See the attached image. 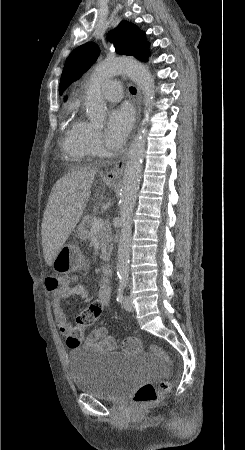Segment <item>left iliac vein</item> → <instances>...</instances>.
Returning <instances> with one entry per match:
<instances>
[{"instance_id": "4c4485c4", "label": "left iliac vein", "mask_w": 245, "mask_h": 450, "mask_svg": "<svg viewBox=\"0 0 245 450\" xmlns=\"http://www.w3.org/2000/svg\"><path fill=\"white\" fill-rule=\"evenodd\" d=\"M123 307L126 311L128 312H134L135 307L132 303L131 297L130 296H125L123 299Z\"/></svg>"}]
</instances>
